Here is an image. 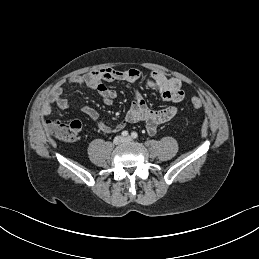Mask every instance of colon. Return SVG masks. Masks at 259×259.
<instances>
[{"mask_svg":"<svg viewBox=\"0 0 259 259\" xmlns=\"http://www.w3.org/2000/svg\"><path fill=\"white\" fill-rule=\"evenodd\" d=\"M202 106V102L199 98H193L191 100V107L199 109ZM82 128L79 121L71 122H49L46 125V131L62 141H74L77 139L78 134Z\"/></svg>","mask_w":259,"mask_h":259,"instance_id":"5ec220e1","label":"colon"}]
</instances>
